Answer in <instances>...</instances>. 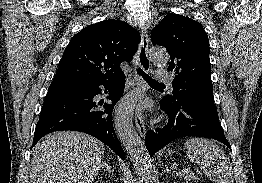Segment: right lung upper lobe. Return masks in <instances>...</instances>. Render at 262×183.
I'll list each match as a JSON object with an SVG mask.
<instances>
[{
	"label": "right lung upper lobe",
	"mask_w": 262,
	"mask_h": 183,
	"mask_svg": "<svg viewBox=\"0 0 262 183\" xmlns=\"http://www.w3.org/2000/svg\"><path fill=\"white\" fill-rule=\"evenodd\" d=\"M139 42V32L120 20L87 26L72 37L50 87L118 79L121 62L132 59Z\"/></svg>",
	"instance_id": "1"
}]
</instances>
